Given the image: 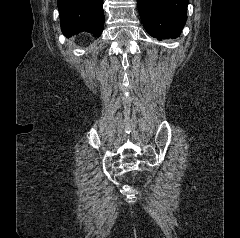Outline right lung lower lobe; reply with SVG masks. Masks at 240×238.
I'll return each instance as SVG.
<instances>
[{
    "mask_svg": "<svg viewBox=\"0 0 240 238\" xmlns=\"http://www.w3.org/2000/svg\"><path fill=\"white\" fill-rule=\"evenodd\" d=\"M62 32L88 31L99 37L104 27L103 0H58Z\"/></svg>",
    "mask_w": 240,
    "mask_h": 238,
    "instance_id": "right-lung-lower-lobe-1",
    "label": "right lung lower lobe"
}]
</instances>
